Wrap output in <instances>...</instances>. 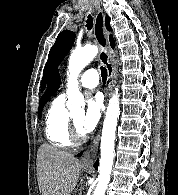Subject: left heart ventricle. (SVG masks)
Returning <instances> with one entry per match:
<instances>
[{
	"label": "left heart ventricle",
	"mask_w": 178,
	"mask_h": 195,
	"mask_svg": "<svg viewBox=\"0 0 178 195\" xmlns=\"http://www.w3.org/2000/svg\"><path fill=\"white\" fill-rule=\"evenodd\" d=\"M82 117H83L82 113H79V114H76L73 116V120H74L80 133H82V131L80 130V121H81Z\"/></svg>",
	"instance_id": "obj_1"
}]
</instances>
